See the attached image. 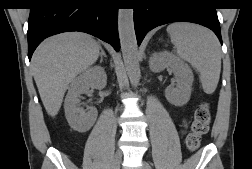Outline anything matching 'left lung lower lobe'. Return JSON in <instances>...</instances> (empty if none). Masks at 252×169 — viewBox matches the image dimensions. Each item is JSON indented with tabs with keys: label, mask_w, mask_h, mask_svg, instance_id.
Instances as JSON below:
<instances>
[{
	"label": "left lung lower lobe",
	"mask_w": 252,
	"mask_h": 169,
	"mask_svg": "<svg viewBox=\"0 0 252 169\" xmlns=\"http://www.w3.org/2000/svg\"><path fill=\"white\" fill-rule=\"evenodd\" d=\"M201 2L205 5V0ZM134 22L138 42L142 41L148 31L170 22H192L203 25L211 29L221 40L220 26L215 9L211 7L194 9L187 2L177 5L172 3L167 8L152 9L148 12L146 10L135 11Z\"/></svg>",
	"instance_id": "left-lung-lower-lobe-1"
}]
</instances>
